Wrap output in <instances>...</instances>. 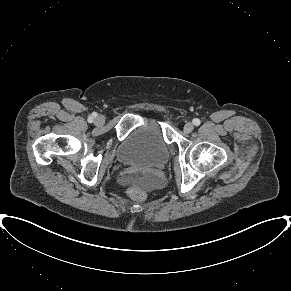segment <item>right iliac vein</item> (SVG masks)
I'll return each instance as SVG.
<instances>
[{
  "mask_svg": "<svg viewBox=\"0 0 291 291\" xmlns=\"http://www.w3.org/2000/svg\"><path fill=\"white\" fill-rule=\"evenodd\" d=\"M105 122V118L102 115L97 116L95 119V123L97 125H102Z\"/></svg>",
  "mask_w": 291,
  "mask_h": 291,
  "instance_id": "1",
  "label": "right iliac vein"
}]
</instances>
